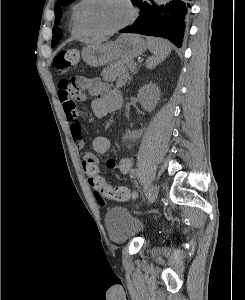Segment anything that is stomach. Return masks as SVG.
<instances>
[{
	"instance_id": "stomach-1",
	"label": "stomach",
	"mask_w": 245,
	"mask_h": 300,
	"mask_svg": "<svg viewBox=\"0 0 245 300\" xmlns=\"http://www.w3.org/2000/svg\"><path fill=\"white\" fill-rule=\"evenodd\" d=\"M146 48V42L139 35L122 34L115 41L83 48L82 58L87 65L99 67L118 59L128 60L137 57Z\"/></svg>"
}]
</instances>
